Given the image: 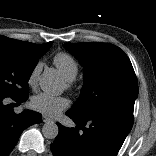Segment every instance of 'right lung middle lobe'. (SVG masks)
Returning <instances> with one entry per match:
<instances>
[{
	"mask_svg": "<svg viewBox=\"0 0 156 156\" xmlns=\"http://www.w3.org/2000/svg\"><path fill=\"white\" fill-rule=\"evenodd\" d=\"M41 56L0 45V94L19 99L28 96V81Z\"/></svg>",
	"mask_w": 156,
	"mask_h": 156,
	"instance_id": "right-lung-middle-lobe-1",
	"label": "right lung middle lobe"
}]
</instances>
